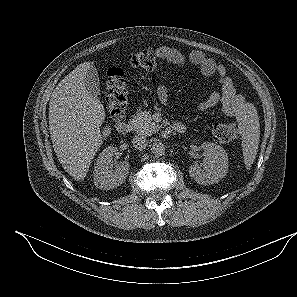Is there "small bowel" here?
Instances as JSON below:
<instances>
[{"label":"small bowel","mask_w":297,"mask_h":297,"mask_svg":"<svg viewBox=\"0 0 297 297\" xmlns=\"http://www.w3.org/2000/svg\"><path fill=\"white\" fill-rule=\"evenodd\" d=\"M157 56L170 64L184 66L193 64L200 70L205 77L217 76L221 85L220 92H213L206 100L198 106L200 111H206L216 105H220L222 112L226 116L238 118L245 108V100L242 95L235 90L232 79L227 74L224 65L217 63L207 57L201 51H192L185 53L172 46H159L156 48ZM157 96L162 104L169 103V94L167 87L163 84L157 88Z\"/></svg>","instance_id":"c3829d8e"}]
</instances>
